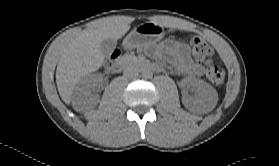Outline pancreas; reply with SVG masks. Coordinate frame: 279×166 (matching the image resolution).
<instances>
[{"instance_id":"1","label":"pancreas","mask_w":279,"mask_h":166,"mask_svg":"<svg viewBox=\"0 0 279 166\" xmlns=\"http://www.w3.org/2000/svg\"><path fill=\"white\" fill-rule=\"evenodd\" d=\"M123 59L127 64H137V63H139L138 59H136L134 57H131V56L124 57Z\"/></svg>"}]
</instances>
